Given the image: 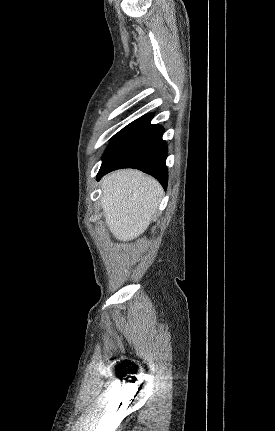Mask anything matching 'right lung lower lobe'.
I'll return each mask as SVG.
<instances>
[{"instance_id":"1","label":"right lung lower lobe","mask_w":275,"mask_h":431,"mask_svg":"<svg viewBox=\"0 0 275 431\" xmlns=\"http://www.w3.org/2000/svg\"><path fill=\"white\" fill-rule=\"evenodd\" d=\"M152 116L135 120L113 138L102 158L97 180L116 169L136 168L155 177L166 189L168 149L162 140L163 127L150 124Z\"/></svg>"}]
</instances>
